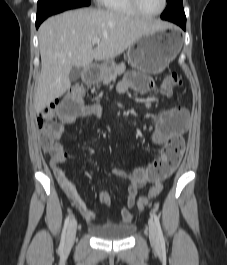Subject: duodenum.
<instances>
[{
	"mask_svg": "<svg viewBox=\"0 0 227 265\" xmlns=\"http://www.w3.org/2000/svg\"><path fill=\"white\" fill-rule=\"evenodd\" d=\"M95 77V72L93 67H87L82 74V79L85 83L90 84L93 82Z\"/></svg>",
	"mask_w": 227,
	"mask_h": 265,
	"instance_id": "obj_1",
	"label": "duodenum"
}]
</instances>
